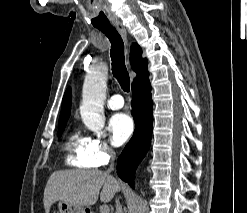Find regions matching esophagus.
<instances>
[{"instance_id": "1", "label": "esophagus", "mask_w": 247, "mask_h": 213, "mask_svg": "<svg viewBox=\"0 0 247 213\" xmlns=\"http://www.w3.org/2000/svg\"><path fill=\"white\" fill-rule=\"evenodd\" d=\"M113 25L118 30V32L121 34L126 45L128 46V37H127V31H126L125 27L120 22H117V21L113 22Z\"/></svg>"}]
</instances>
